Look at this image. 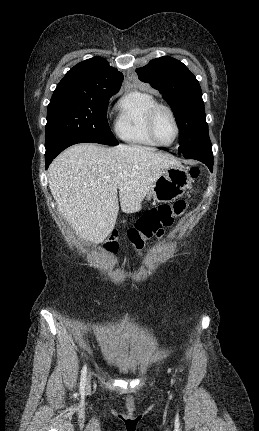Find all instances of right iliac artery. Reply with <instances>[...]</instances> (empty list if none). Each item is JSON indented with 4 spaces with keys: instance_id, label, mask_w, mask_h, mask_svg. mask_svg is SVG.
<instances>
[{
    "instance_id": "82829eb1",
    "label": "right iliac artery",
    "mask_w": 259,
    "mask_h": 431,
    "mask_svg": "<svg viewBox=\"0 0 259 431\" xmlns=\"http://www.w3.org/2000/svg\"><path fill=\"white\" fill-rule=\"evenodd\" d=\"M86 376H87V367H86V365H84V367L81 371V381H80V390L81 391H83L85 389Z\"/></svg>"
}]
</instances>
